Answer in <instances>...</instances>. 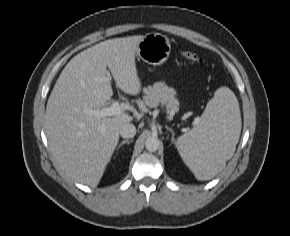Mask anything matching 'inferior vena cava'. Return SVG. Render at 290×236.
I'll list each match as a JSON object with an SVG mask.
<instances>
[{"label":"inferior vena cava","instance_id":"obj_1","mask_svg":"<svg viewBox=\"0 0 290 236\" xmlns=\"http://www.w3.org/2000/svg\"><path fill=\"white\" fill-rule=\"evenodd\" d=\"M119 133L123 138H133L136 134V128L131 123H126L121 126Z\"/></svg>","mask_w":290,"mask_h":236}]
</instances>
